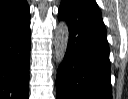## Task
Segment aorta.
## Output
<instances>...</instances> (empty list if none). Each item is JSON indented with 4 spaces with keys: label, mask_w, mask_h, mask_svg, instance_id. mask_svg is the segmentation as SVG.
I'll return each instance as SVG.
<instances>
[{
    "label": "aorta",
    "mask_w": 128,
    "mask_h": 99,
    "mask_svg": "<svg viewBox=\"0 0 128 99\" xmlns=\"http://www.w3.org/2000/svg\"><path fill=\"white\" fill-rule=\"evenodd\" d=\"M69 28L65 21L59 22L54 35L55 60L60 64L68 47Z\"/></svg>",
    "instance_id": "1"
}]
</instances>
